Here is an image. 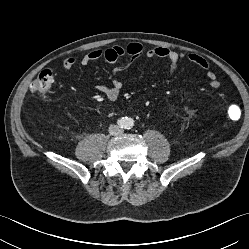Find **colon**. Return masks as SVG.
Returning a JSON list of instances; mask_svg holds the SVG:
<instances>
[{
    "label": "colon",
    "instance_id": "1",
    "mask_svg": "<svg viewBox=\"0 0 249 249\" xmlns=\"http://www.w3.org/2000/svg\"><path fill=\"white\" fill-rule=\"evenodd\" d=\"M54 82V75L51 70H42L31 84V91L38 97L48 98L52 85ZM240 109L237 106H230L229 116L231 118H238L240 116Z\"/></svg>",
    "mask_w": 249,
    "mask_h": 249
}]
</instances>
